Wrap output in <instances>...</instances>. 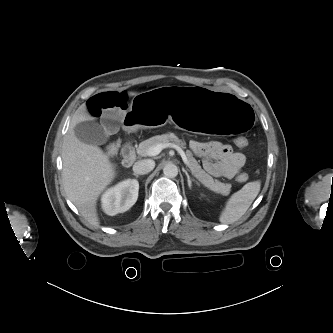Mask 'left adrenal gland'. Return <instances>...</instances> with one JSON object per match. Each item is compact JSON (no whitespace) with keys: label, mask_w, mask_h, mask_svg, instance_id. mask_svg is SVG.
<instances>
[{"label":"left adrenal gland","mask_w":333,"mask_h":333,"mask_svg":"<svg viewBox=\"0 0 333 333\" xmlns=\"http://www.w3.org/2000/svg\"><path fill=\"white\" fill-rule=\"evenodd\" d=\"M185 175L187 176V182H188V186L191 189L192 188V182H194L196 185H199V183L194 179V178H190L188 172L186 170H183Z\"/></svg>","instance_id":"left-adrenal-gland-1"}]
</instances>
